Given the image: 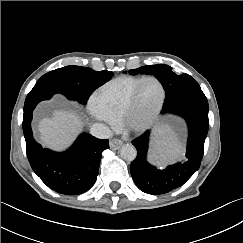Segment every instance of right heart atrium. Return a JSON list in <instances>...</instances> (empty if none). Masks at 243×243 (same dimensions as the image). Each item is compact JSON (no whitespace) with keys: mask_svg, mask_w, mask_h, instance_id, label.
Returning a JSON list of instances; mask_svg holds the SVG:
<instances>
[{"mask_svg":"<svg viewBox=\"0 0 243 243\" xmlns=\"http://www.w3.org/2000/svg\"><path fill=\"white\" fill-rule=\"evenodd\" d=\"M88 112L91 118L101 122L107 126L109 129H114L116 127V120L102 111L94 102L93 98L90 100L88 105Z\"/></svg>","mask_w":243,"mask_h":243,"instance_id":"obj_1","label":"right heart atrium"}]
</instances>
